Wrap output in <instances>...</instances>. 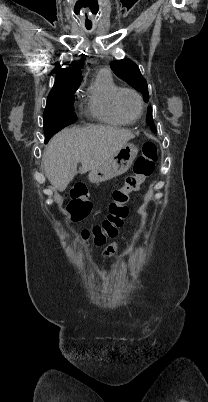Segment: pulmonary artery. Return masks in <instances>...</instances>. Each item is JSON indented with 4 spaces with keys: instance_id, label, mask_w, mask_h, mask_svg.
<instances>
[{
    "instance_id": "1",
    "label": "pulmonary artery",
    "mask_w": 208,
    "mask_h": 402,
    "mask_svg": "<svg viewBox=\"0 0 208 402\" xmlns=\"http://www.w3.org/2000/svg\"><path fill=\"white\" fill-rule=\"evenodd\" d=\"M101 71H103V72H106V73L110 74V70H109L108 68H103V69H101Z\"/></svg>"
}]
</instances>
